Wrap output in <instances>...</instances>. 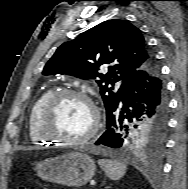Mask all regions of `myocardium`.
Returning <instances> with one entry per match:
<instances>
[{"label":"myocardium","mask_w":188,"mask_h":189,"mask_svg":"<svg viewBox=\"0 0 188 189\" xmlns=\"http://www.w3.org/2000/svg\"><path fill=\"white\" fill-rule=\"evenodd\" d=\"M67 98H77L85 101L93 114V123L90 130L80 138L67 139L61 137L60 135H56L51 131L50 126L53 114L60 102ZM100 127L101 112L93 98L85 92L73 89H62L56 91L46 102L38 122V130L43 138L68 146H77L89 142L98 134Z\"/></svg>","instance_id":"f54148a6"}]
</instances>
